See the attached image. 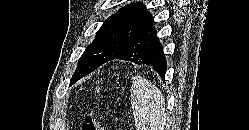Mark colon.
<instances>
[{"label":"colon","mask_w":249,"mask_h":130,"mask_svg":"<svg viewBox=\"0 0 249 130\" xmlns=\"http://www.w3.org/2000/svg\"><path fill=\"white\" fill-rule=\"evenodd\" d=\"M82 130H105L97 107H92L83 122Z\"/></svg>","instance_id":"1"}]
</instances>
